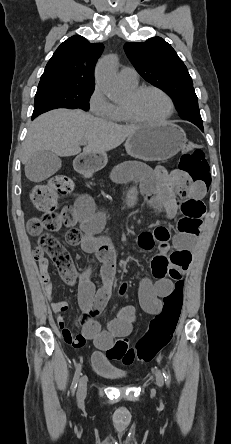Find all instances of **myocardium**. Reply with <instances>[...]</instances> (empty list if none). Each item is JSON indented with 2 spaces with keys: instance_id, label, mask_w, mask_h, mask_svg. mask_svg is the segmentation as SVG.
I'll use <instances>...</instances> for the list:
<instances>
[{
  "instance_id": "obj_1",
  "label": "myocardium",
  "mask_w": 231,
  "mask_h": 444,
  "mask_svg": "<svg viewBox=\"0 0 231 444\" xmlns=\"http://www.w3.org/2000/svg\"><path fill=\"white\" fill-rule=\"evenodd\" d=\"M149 90L156 91V92L160 93L162 96L165 97V99L167 100V102L169 104V111H168V113L164 117H162V118H160L158 120H145V119H142V118L137 116V114L135 113L134 108H133V102L142 93H144L145 91H149ZM129 97H130V101L123 104V109H124V112H125L127 118L132 123L145 124V125H158V124H161V123H164V122L168 121L173 116V114L175 113V103H174L172 97L165 90H163L162 88H160L158 86H155V85H143V86L136 87L135 89H133V90H131L129 92Z\"/></svg>"
}]
</instances>
